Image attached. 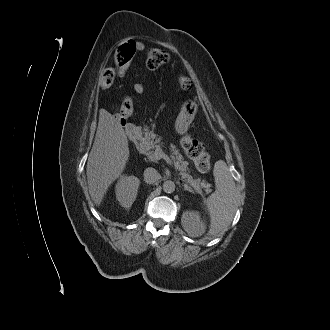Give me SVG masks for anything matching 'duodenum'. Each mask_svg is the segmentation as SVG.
<instances>
[{
	"instance_id": "1",
	"label": "duodenum",
	"mask_w": 330,
	"mask_h": 330,
	"mask_svg": "<svg viewBox=\"0 0 330 330\" xmlns=\"http://www.w3.org/2000/svg\"><path fill=\"white\" fill-rule=\"evenodd\" d=\"M125 132L126 136L131 141H136L140 137V130L132 124L125 126Z\"/></svg>"
}]
</instances>
